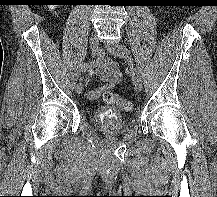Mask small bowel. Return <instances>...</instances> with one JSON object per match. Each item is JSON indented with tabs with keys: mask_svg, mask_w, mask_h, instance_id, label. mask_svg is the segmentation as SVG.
<instances>
[{
	"mask_svg": "<svg viewBox=\"0 0 217 197\" xmlns=\"http://www.w3.org/2000/svg\"><path fill=\"white\" fill-rule=\"evenodd\" d=\"M97 64V73L104 84L88 91L87 95L90 99H98L102 93L112 90L122 79L118 64L110 57L100 53Z\"/></svg>",
	"mask_w": 217,
	"mask_h": 197,
	"instance_id": "obj_1",
	"label": "small bowel"
}]
</instances>
